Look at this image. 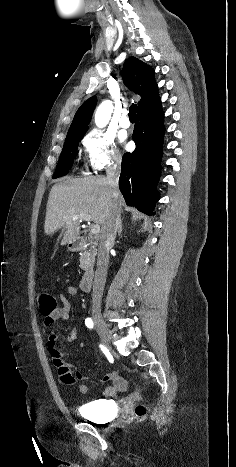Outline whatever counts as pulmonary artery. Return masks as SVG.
I'll return each mask as SVG.
<instances>
[{"mask_svg": "<svg viewBox=\"0 0 236 467\" xmlns=\"http://www.w3.org/2000/svg\"><path fill=\"white\" fill-rule=\"evenodd\" d=\"M119 124L123 128H128L130 126L131 123H130V120H129V117H128V114H127L126 110H124L122 112V115H121V117L119 119Z\"/></svg>", "mask_w": 236, "mask_h": 467, "instance_id": "1", "label": "pulmonary artery"}]
</instances>
